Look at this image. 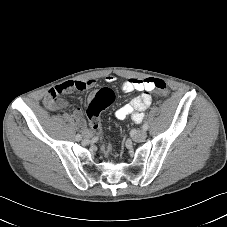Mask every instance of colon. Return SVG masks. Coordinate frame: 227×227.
Returning a JSON list of instances; mask_svg holds the SVG:
<instances>
[{
    "instance_id": "1",
    "label": "colon",
    "mask_w": 227,
    "mask_h": 227,
    "mask_svg": "<svg viewBox=\"0 0 227 227\" xmlns=\"http://www.w3.org/2000/svg\"><path fill=\"white\" fill-rule=\"evenodd\" d=\"M154 89L161 94L167 93V85L166 83L161 79H154L153 80ZM77 88H82V84H77ZM53 99L57 97V95L54 93L52 94ZM114 101V93L109 88H102L100 89L90 100L88 107H87V115L90 120V125L92 128V131L95 135L101 136V126L99 122V116L101 112L109 107ZM103 151L105 154L110 153V149L108 148V145L106 143L103 144Z\"/></svg>"
}]
</instances>
